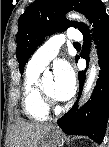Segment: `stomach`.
<instances>
[{
	"label": "stomach",
	"instance_id": "obj_1",
	"mask_svg": "<svg viewBox=\"0 0 109 147\" xmlns=\"http://www.w3.org/2000/svg\"><path fill=\"white\" fill-rule=\"evenodd\" d=\"M62 139L61 131L54 127L44 134L39 142V147H57Z\"/></svg>",
	"mask_w": 109,
	"mask_h": 147
}]
</instances>
